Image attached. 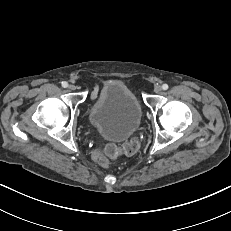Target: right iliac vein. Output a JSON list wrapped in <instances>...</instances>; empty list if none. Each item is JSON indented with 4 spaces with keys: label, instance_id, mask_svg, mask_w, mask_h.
<instances>
[{
    "label": "right iliac vein",
    "instance_id": "right-iliac-vein-1",
    "mask_svg": "<svg viewBox=\"0 0 231 231\" xmlns=\"http://www.w3.org/2000/svg\"><path fill=\"white\" fill-rule=\"evenodd\" d=\"M68 89H69V90H75V89H76V86H75L74 84H70V85L68 86Z\"/></svg>",
    "mask_w": 231,
    "mask_h": 231
}]
</instances>
